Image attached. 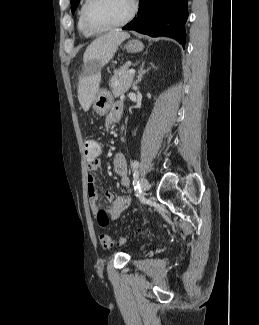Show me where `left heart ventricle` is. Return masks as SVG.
I'll list each match as a JSON object with an SVG mask.
<instances>
[{
    "instance_id": "obj_1",
    "label": "left heart ventricle",
    "mask_w": 259,
    "mask_h": 325,
    "mask_svg": "<svg viewBox=\"0 0 259 325\" xmlns=\"http://www.w3.org/2000/svg\"><path fill=\"white\" fill-rule=\"evenodd\" d=\"M131 9V0H97L89 11V20L96 26L122 20Z\"/></svg>"
}]
</instances>
